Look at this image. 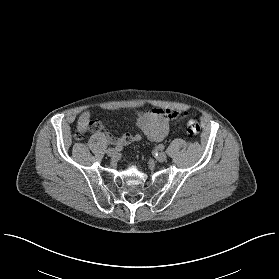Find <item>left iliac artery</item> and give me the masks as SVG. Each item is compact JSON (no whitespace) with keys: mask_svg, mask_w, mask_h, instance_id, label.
Instances as JSON below:
<instances>
[{"mask_svg":"<svg viewBox=\"0 0 279 279\" xmlns=\"http://www.w3.org/2000/svg\"><path fill=\"white\" fill-rule=\"evenodd\" d=\"M158 148H159L160 150H163V149H164V145H163V144H159V145H158Z\"/></svg>","mask_w":279,"mask_h":279,"instance_id":"1","label":"left iliac artery"}]
</instances>
